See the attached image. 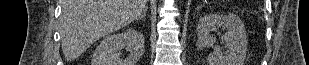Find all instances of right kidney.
Returning <instances> with one entry per match:
<instances>
[{"label":"right kidney","mask_w":309,"mask_h":65,"mask_svg":"<svg viewBox=\"0 0 309 65\" xmlns=\"http://www.w3.org/2000/svg\"><path fill=\"white\" fill-rule=\"evenodd\" d=\"M144 44L143 34L133 29L109 35L96 48L92 65H135L144 54ZM124 47L127 48L130 56L122 61L118 52Z\"/></svg>","instance_id":"right-kidney-1"}]
</instances>
